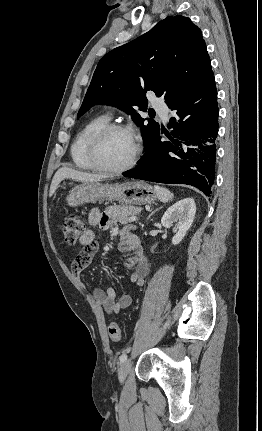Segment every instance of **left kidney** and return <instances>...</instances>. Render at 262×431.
<instances>
[{
    "instance_id": "obj_1",
    "label": "left kidney",
    "mask_w": 262,
    "mask_h": 431,
    "mask_svg": "<svg viewBox=\"0 0 262 431\" xmlns=\"http://www.w3.org/2000/svg\"><path fill=\"white\" fill-rule=\"evenodd\" d=\"M196 205L193 199L186 198L176 202L164 213L161 223L164 227H171L175 224L176 234L172 238V244H179L185 237L186 232L192 226L195 218Z\"/></svg>"
}]
</instances>
